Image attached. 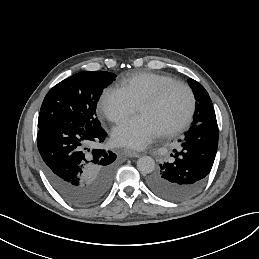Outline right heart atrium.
Masks as SVG:
<instances>
[{
	"mask_svg": "<svg viewBox=\"0 0 259 259\" xmlns=\"http://www.w3.org/2000/svg\"><path fill=\"white\" fill-rule=\"evenodd\" d=\"M102 115L112 122H119L130 116L137 105L116 88H105L99 97Z\"/></svg>",
	"mask_w": 259,
	"mask_h": 259,
	"instance_id": "obj_1",
	"label": "right heart atrium"
}]
</instances>
